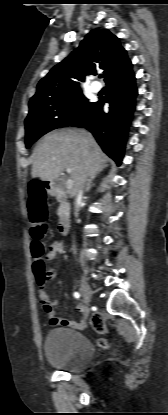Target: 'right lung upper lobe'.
<instances>
[{"label":"right lung upper lobe","instance_id":"cb5924a9","mask_svg":"<svg viewBox=\"0 0 168 415\" xmlns=\"http://www.w3.org/2000/svg\"><path fill=\"white\" fill-rule=\"evenodd\" d=\"M130 65L126 50L115 35L106 29H93L78 48L40 80L29 108L81 91L80 82L86 75H95L97 69L104 70L107 82Z\"/></svg>","mask_w":168,"mask_h":415}]
</instances>
